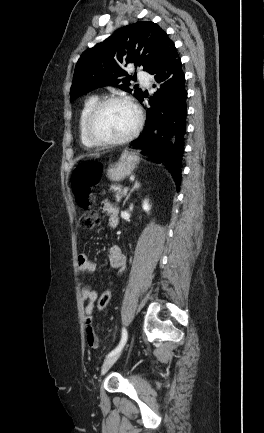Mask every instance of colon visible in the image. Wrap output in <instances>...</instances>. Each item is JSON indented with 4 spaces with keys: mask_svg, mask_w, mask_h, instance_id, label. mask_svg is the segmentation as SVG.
I'll list each match as a JSON object with an SVG mask.
<instances>
[{
    "mask_svg": "<svg viewBox=\"0 0 264 433\" xmlns=\"http://www.w3.org/2000/svg\"><path fill=\"white\" fill-rule=\"evenodd\" d=\"M102 166L97 161H87L80 163L75 167L71 176V186L77 204L85 209L80 218V226L85 230L94 229L99 224V215L96 211L91 210L92 188L96 186L101 179ZM113 292L111 289L105 290L98 300V310L105 311L108 307Z\"/></svg>",
    "mask_w": 264,
    "mask_h": 433,
    "instance_id": "5ec220e1",
    "label": "colon"
}]
</instances>
